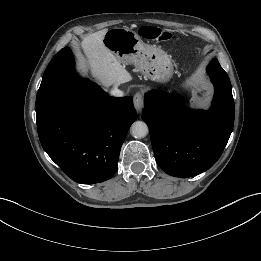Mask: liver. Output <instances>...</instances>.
I'll use <instances>...</instances> for the list:
<instances>
[{
  "instance_id": "liver-1",
  "label": "liver",
  "mask_w": 261,
  "mask_h": 261,
  "mask_svg": "<svg viewBox=\"0 0 261 261\" xmlns=\"http://www.w3.org/2000/svg\"><path fill=\"white\" fill-rule=\"evenodd\" d=\"M107 29L87 35L81 42L92 76L104 87L126 83L131 74L103 44Z\"/></svg>"
}]
</instances>
